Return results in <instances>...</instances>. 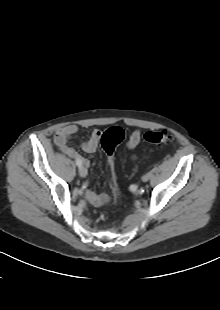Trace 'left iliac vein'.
I'll use <instances>...</instances> for the list:
<instances>
[{"mask_svg": "<svg viewBox=\"0 0 220 310\" xmlns=\"http://www.w3.org/2000/svg\"><path fill=\"white\" fill-rule=\"evenodd\" d=\"M148 179H149V176H148V175H144V176L142 177V180H143L144 182L148 181Z\"/></svg>", "mask_w": 220, "mask_h": 310, "instance_id": "4c4485c4", "label": "left iliac vein"}]
</instances>
